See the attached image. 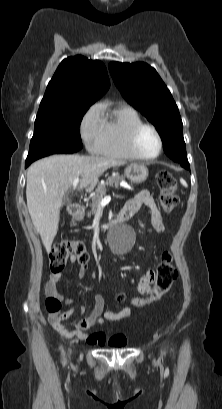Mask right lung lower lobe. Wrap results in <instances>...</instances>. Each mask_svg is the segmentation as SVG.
<instances>
[{"instance_id":"obj_1","label":"right lung lower lobe","mask_w":222,"mask_h":409,"mask_svg":"<svg viewBox=\"0 0 222 409\" xmlns=\"http://www.w3.org/2000/svg\"><path fill=\"white\" fill-rule=\"evenodd\" d=\"M31 163H25V167H28Z\"/></svg>"}]
</instances>
